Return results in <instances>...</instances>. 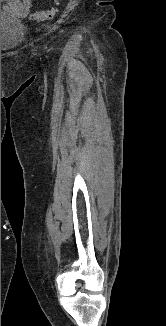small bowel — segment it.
Here are the masks:
<instances>
[{"mask_svg": "<svg viewBox=\"0 0 166 326\" xmlns=\"http://www.w3.org/2000/svg\"><path fill=\"white\" fill-rule=\"evenodd\" d=\"M3 9L17 18H24L33 5V0H1Z\"/></svg>", "mask_w": 166, "mask_h": 326, "instance_id": "obj_1", "label": "small bowel"}]
</instances>
